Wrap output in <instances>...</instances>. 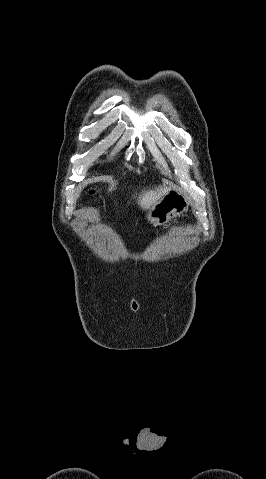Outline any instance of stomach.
<instances>
[{
    "label": "stomach",
    "mask_w": 266,
    "mask_h": 479,
    "mask_svg": "<svg viewBox=\"0 0 266 479\" xmlns=\"http://www.w3.org/2000/svg\"><path fill=\"white\" fill-rule=\"evenodd\" d=\"M188 198L177 189H170L148 208L147 219L154 226H162L188 210Z\"/></svg>",
    "instance_id": "obj_1"
}]
</instances>
